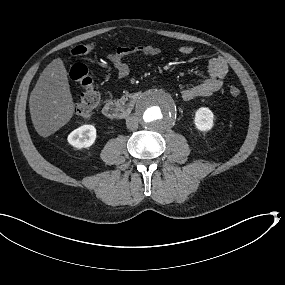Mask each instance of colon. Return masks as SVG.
Instances as JSON below:
<instances>
[{
	"label": "colon",
	"instance_id": "colon-1",
	"mask_svg": "<svg viewBox=\"0 0 285 285\" xmlns=\"http://www.w3.org/2000/svg\"><path fill=\"white\" fill-rule=\"evenodd\" d=\"M95 48L94 43L79 44L73 47L71 54L75 57L87 55ZM70 78L81 87V93L75 106L77 115L89 117L101 104V95L95 86L94 80L86 65L76 63L70 70ZM229 93L233 97L240 95L241 91L237 86H231Z\"/></svg>",
	"mask_w": 285,
	"mask_h": 285
}]
</instances>
